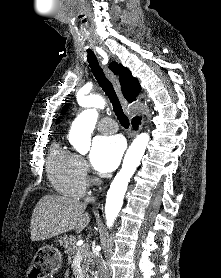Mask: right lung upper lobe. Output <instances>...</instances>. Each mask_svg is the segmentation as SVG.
Here are the masks:
<instances>
[{
  "label": "right lung upper lobe",
  "mask_w": 221,
  "mask_h": 278,
  "mask_svg": "<svg viewBox=\"0 0 221 278\" xmlns=\"http://www.w3.org/2000/svg\"><path fill=\"white\" fill-rule=\"evenodd\" d=\"M118 69H119V80H120L123 95L129 102H132L135 100V97L140 92L141 86L138 80L132 76L128 68L123 67L120 64ZM67 108L68 105H65L63 108V112H66ZM56 122L59 123L60 120L57 119Z\"/></svg>",
  "instance_id": "cb5924a9"
}]
</instances>
